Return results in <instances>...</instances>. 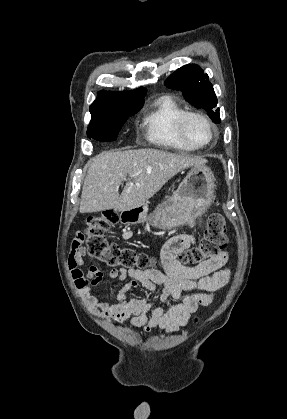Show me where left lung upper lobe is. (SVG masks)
Segmentation results:
<instances>
[{"label":"left lung upper lobe","instance_id":"left-lung-upper-lobe-1","mask_svg":"<svg viewBox=\"0 0 287 419\" xmlns=\"http://www.w3.org/2000/svg\"><path fill=\"white\" fill-rule=\"evenodd\" d=\"M208 78L200 66L188 64L176 70L165 81V85L182 92L188 102L206 110L215 123H220L219 108L215 109L217 97Z\"/></svg>","mask_w":287,"mask_h":419}]
</instances>
